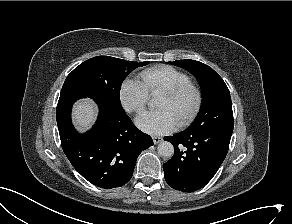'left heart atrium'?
I'll return each instance as SVG.
<instances>
[{"mask_svg":"<svg viewBox=\"0 0 292 224\" xmlns=\"http://www.w3.org/2000/svg\"><path fill=\"white\" fill-rule=\"evenodd\" d=\"M136 125L145 133L163 135L173 131L177 123L167 110L157 109L141 114L136 119Z\"/></svg>","mask_w":292,"mask_h":224,"instance_id":"39dd6f15","label":"left heart atrium"}]
</instances>
